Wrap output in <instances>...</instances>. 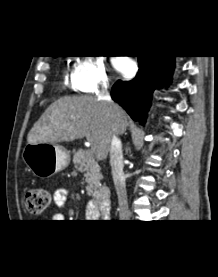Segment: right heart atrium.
Masks as SVG:
<instances>
[{"label": "right heart atrium", "instance_id": "obj_1", "mask_svg": "<svg viewBox=\"0 0 218 277\" xmlns=\"http://www.w3.org/2000/svg\"><path fill=\"white\" fill-rule=\"evenodd\" d=\"M71 84L83 93L107 88L109 77L104 58L101 55H85L74 70Z\"/></svg>", "mask_w": 218, "mask_h": 277}]
</instances>
